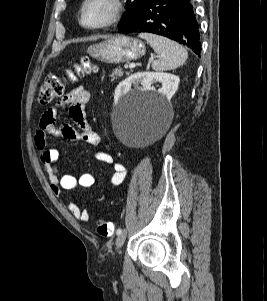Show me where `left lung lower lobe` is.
<instances>
[{
  "label": "left lung lower lobe",
  "instance_id": "left-lung-lower-lobe-1",
  "mask_svg": "<svg viewBox=\"0 0 267 301\" xmlns=\"http://www.w3.org/2000/svg\"><path fill=\"white\" fill-rule=\"evenodd\" d=\"M120 33H153L170 38L200 55L199 26L191 0H147Z\"/></svg>",
  "mask_w": 267,
  "mask_h": 301
}]
</instances>
